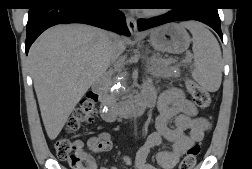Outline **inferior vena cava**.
<instances>
[{
	"mask_svg": "<svg viewBox=\"0 0 252 169\" xmlns=\"http://www.w3.org/2000/svg\"><path fill=\"white\" fill-rule=\"evenodd\" d=\"M121 41L120 38L116 34H112L109 42V59L110 66L118 67L119 66V58L121 54ZM110 73H113V68L110 69Z\"/></svg>",
	"mask_w": 252,
	"mask_h": 169,
	"instance_id": "inferior-vena-cava-1",
	"label": "inferior vena cava"
}]
</instances>
